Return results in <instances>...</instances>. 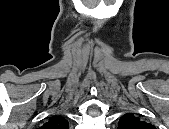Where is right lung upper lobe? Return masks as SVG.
<instances>
[{
	"mask_svg": "<svg viewBox=\"0 0 169 129\" xmlns=\"http://www.w3.org/2000/svg\"><path fill=\"white\" fill-rule=\"evenodd\" d=\"M45 129H68V121L61 116H54L43 125Z\"/></svg>",
	"mask_w": 169,
	"mask_h": 129,
	"instance_id": "1",
	"label": "right lung upper lobe"
}]
</instances>
